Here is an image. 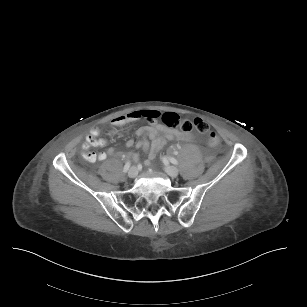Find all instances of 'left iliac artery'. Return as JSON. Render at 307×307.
<instances>
[{
  "mask_svg": "<svg viewBox=\"0 0 307 307\" xmlns=\"http://www.w3.org/2000/svg\"><path fill=\"white\" fill-rule=\"evenodd\" d=\"M163 160H169L174 165L178 164V161L173 157L163 158Z\"/></svg>",
  "mask_w": 307,
  "mask_h": 307,
  "instance_id": "44dca946",
  "label": "left iliac artery"
}]
</instances>
